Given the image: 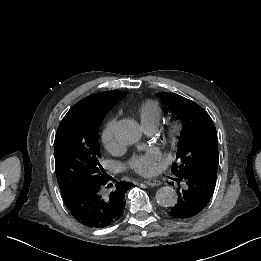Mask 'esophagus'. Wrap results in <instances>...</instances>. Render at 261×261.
Instances as JSON below:
<instances>
[{
	"instance_id": "34e87169",
	"label": "esophagus",
	"mask_w": 261,
	"mask_h": 261,
	"mask_svg": "<svg viewBox=\"0 0 261 261\" xmlns=\"http://www.w3.org/2000/svg\"><path fill=\"white\" fill-rule=\"evenodd\" d=\"M145 183L147 185H150V186H159V185H161V181L157 180V179H148V180L145 181Z\"/></svg>"
}]
</instances>
